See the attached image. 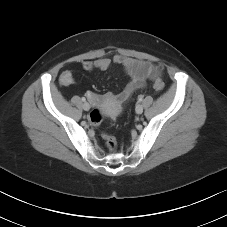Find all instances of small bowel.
Wrapping results in <instances>:
<instances>
[{
  "label": "small bowel",
  "instance_id": "1",
  "mask_svg": "<svg viewBox=\"0 0 227 227\" xmlns=\"http://www.w3.org/2000/svg\"><path fill=\"white\" fill-rule=\"evenodd\" d=\"M113 64L121 65L129 80L124 89L118 94L106 93L101 95L88 91L86 96L93 104L108 102L114 103L120 108L130 99L136 90L145 86L147 80H156L160 75V69L158 67L153 66L148 62L122 55H116L112 59L98 58L95 60H84L82 61L81 66L86 71H106ZM58 82L61 86L71 85L74 82L73 73L70 70L63 71L59 75Z\"/></svg>",
  "mask_w": 227,
  "mask_h": 227
}]
</instances>
